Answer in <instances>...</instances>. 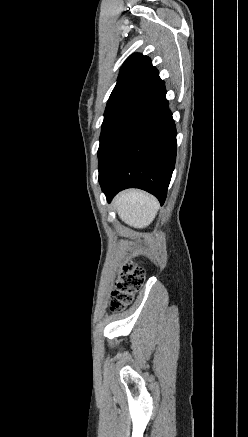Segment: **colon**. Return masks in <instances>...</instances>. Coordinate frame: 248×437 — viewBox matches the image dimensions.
Wrapping results in <instances>:
<instances>
[{
    "mask_svg": "<svg viewBox=\"0 0 248 437\" xmlns=\"http://www.w3.org/2000/svg\"><path fill=\"white\" fill-rule=\"evenodd\" d=\"M144 281L145 272L143 268L130 264L123 266L111 293L110 310L118 312L127 307L137 291L143 286Z\"/></svg>",
    "mask_w": 248,
    "mask_h": 437,
    "instance_id": "5ec220e1",
    "label": "colon"
}]
</instances>
